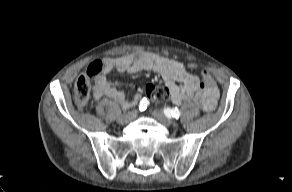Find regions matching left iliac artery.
<instances>
[{
    "label": "left iliac artery",
    "instance_id": "obj_1",
    "mask_svg": "<svg viewBox=\"0 0 292 192\" xmlns=\"http://www.w3.org/2000/svg\"><path fill=\"white\" fill-rule=\"evenodd\" d=\"M166 116L168 117H173V118H176L178 119L180 117V112L177 108H173V109H169V108H166L164 110Z\"/></svg>",
    "mask_w": 292,
    "mask_h": 192
}]
</instances>
